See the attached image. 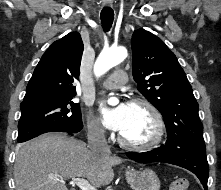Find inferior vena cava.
<instances>
[{
	"mask_svg": "<svg viewBox=\"0 0 221 190\" xmlns=\"http://www.w3.org/2000/svg\"><path fill=\"white\" fill-rule=\"evenodd\" d=\"M88 148L95 155L108 156L111 154L105 138V131L102 127L96 126L89 130Z\"/></svg>",
	"mask_w": 221,
	"mask_h": 190,
	"instance_id": "1",
	"label": "inferior vena cava"
}]
</instances>
